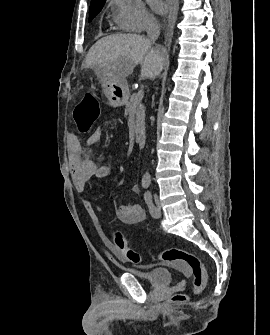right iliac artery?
Masks as SVG:
<instances>
[{"label":"right iliac artery","mask_w":270,"mask_h":335,"mask_svg":"<svg viewBox=\"0 0 270 335\" xmlns=\"http://www.w3.org/2000/svg\"><path fill=\"white\" fill-rule=\"evenodd\" d=\"M149 185H150V180L144 178V179L142 180V186H143V188H144V189H147V188L149 187Z\"/></svg>","instance_id":"82829eb1"}]
</instances>
